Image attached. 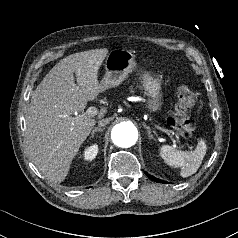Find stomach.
Returning <instances> with one entry per match:
<instances>
[{"label":"stomach","instance_id":"1","mask_svg":"<svg viewBox=\"0 0 238 238\" xmlns=\"http://www.w3.org/2000/svg\"><path fill=\"white\" fill-rule=\"evenodd\" d=\"M136 68L135 55L125 49L111 51L105 61V75L101 80L103 89L120 85ZM141 83L149 96L148 108L151 112L159 111L161 107V81L149 73H141Z\"/></svg>","mask_w":238,"mask_h":238}]
</instances>
